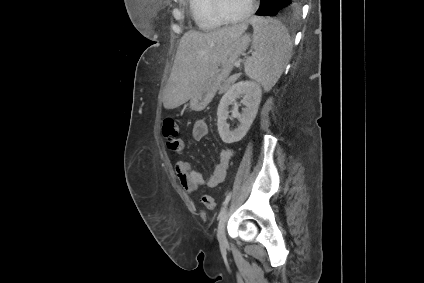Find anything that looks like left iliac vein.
<instances>
[{
    "label": "left iliac vein",
    "instance_id": "obj_1",
    "mask_svg": "<svg viewBox=\"0 0 424 283\" xmlns=\"http://www.w3.org/2000/svg\"><path fill=\"white\" fill-rule=\"evenodd\" d=\"M227 218H228V210H227V207H225L220 214L218 230H217V238H218L220 246L223 248H226L228 246V241H227L226 233H225Z\"/></svg>",
    "mask_w": 424,
    "mask_h": 283
}]
</instances>
